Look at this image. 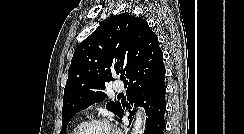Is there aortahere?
I'll list each match as a JSON object with an SVG mask.
<instances>
[{
    "mask_svg": "<svg viewBox=\"0 0 244 134\" xmlns=\"http://www.w3.org/2000/svg\"><path fill=\"white\" fill-rule=\"evenodd\" d=\"M145 126V112L139 108L136 113L134 125L131 134H142Z\"/></svg>",
    "mask_w": 244,
    "mask_h": 134,
    "instance_id": "1",
    "label": "aorta"
}]
</instances>
